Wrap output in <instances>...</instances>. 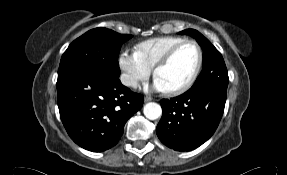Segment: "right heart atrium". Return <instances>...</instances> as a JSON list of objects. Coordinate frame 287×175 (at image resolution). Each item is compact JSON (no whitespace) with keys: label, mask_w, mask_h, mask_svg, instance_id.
I'll return each instance as SVG.
<instances>
[{"label":"right heart atrium","mask_w":287,"mask_h":175,"mask_svg":"<svg viewBox=\"0 0 287 175\" xmlns=\"http://www.w3.org/2000/svg\"><path fill=\"white\" fill-rule=\"evenodd\" d=\"M118 64L122 71V83L131 88H136L140 82L147 80L152 73V69L141 60L138 54L129 50L121 52Z\"/></svg>","instance_id":"obj_1"}]
</instances>
